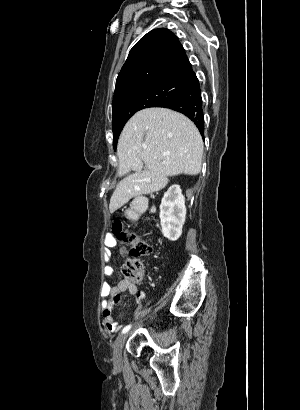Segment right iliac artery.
I'll use <instances>...</instances> for the list:
<instances>
[{
	"instance_id": "1",
	"label": "right iliac artery",
	"mask_w": 300,
	"mask_h": 410,
	"mask_svg": "<svg viewBox=\"0 0 300 410\" xmlns=\"http://www.w3.org/2000/svg\"><path fill=\"white\" fill-rule=\"evenodd\" d=\"M131 326L132 325H127L126 327H124L123 330H122V333L123 334L127 333L130 330Z\"/></svg>"
}]
</instances>
